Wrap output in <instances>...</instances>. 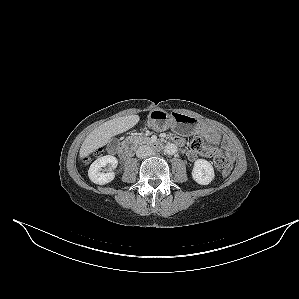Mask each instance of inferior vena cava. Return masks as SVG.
I'll return each mask as SVG.
<instances>
[{
	"mask_svg": "<svg viewBox=\"0 0 299 299\" xmlns=\"http://www.w3.org/2000/svg\"><path fill=\"white\" fill-rule=\"evenodd\" d=\"M152 153H153V151H152L151 147H149L147 145H142L137 149L136 156L138 158H146V157L152 155Z\"/></svg>",
	"mask_w": 299,
	"mask_h": 299,
	"instance_id": "obj_1",
	"label": "inferior vena cava"
}]
</instances>
